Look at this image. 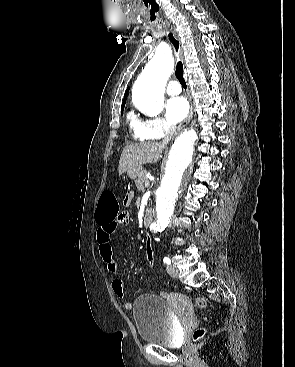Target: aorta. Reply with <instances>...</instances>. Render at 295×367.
<instances>
[{"instance_id": "762f6f07", "label": "aorta", "mask_w": 295, "mask_h": 367, "mask_svg": "<svg viewBox=\"0 0 295 367\" xmlns=\"http://www.w3.org/2000/svg\"><path fill=\"white\" fill-rule=\"evenodd\" d=\"M173 67L172 58L162 54H156L145 66L132 91V100L142 113L149 116H157L161 113L165 85ZM196 139L195 130H184L171 147L161 184L157 190V219L151 225V230L154 232H162L170 222L178 193L192 161Z\"/></svg>"}]
</instances>
